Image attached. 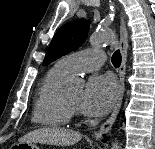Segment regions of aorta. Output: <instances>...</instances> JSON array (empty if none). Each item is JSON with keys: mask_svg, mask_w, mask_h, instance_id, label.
<instances>
[{"mask_svg": "<svg viewBox=\"0 0 155 149\" xmlns=\"http://www.w3.org/2000/svg\"><path fill=\"white\" fill-rule=\"evenodd\" d=\"M89 41L93 47H101L104 44H112L114 42V37L111 31L106 30L97 34H93ZM73 85L79 86V82H73ZM111 149H120L119 143L116 139L112 143Z\"/></svg>", "mask_w": 155, "mask_h": 149, "instance_id": "762f6f07", "label": "aorta"}]
</instances>
